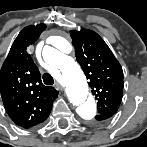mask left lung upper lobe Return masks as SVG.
<instances>
[{
  "label": "left lung upper lobe",
  "mask_w": 147,
  "mask_h": 147,
  "mask_svg": "<svg viewBox=\"0 0 147 147\" xmlns=\"http://www.w3.org/2000/svg\"><path fill=\"white\" fill-rule=\"evenodd\" d=\"M70 34L77 62L97 100L98 115L115 114L122 100L124 86L121 65L96 32L81 29L70 31Z\"/></svg>",
  "instance_id": "obj_1"
}]
</instances>
